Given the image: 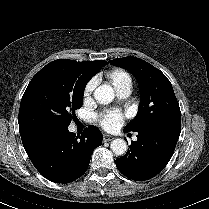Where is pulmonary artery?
I'll use <instances>...</instances> for the list:
<instances>
[{
	"instance_id": "pulmonary-artery-1",
	"label": "pulmonary artery",
	"mask_w": 209,
	"mask_h": 209,
	"mask_svg": "<svg viewBox=\"0 0 209 209\" xmlns=\"http://www.w3.org/2000/svg\"><path fill=\"white\" fill-rule=\"evenodd\" d=\"M116 92H117V95H118L119 98L125 99L130 95L131 88L128 87V86L122 87V88H117ZM136 139H137V137H134V140H136Z\"/></svg>"
}]
</instances>
